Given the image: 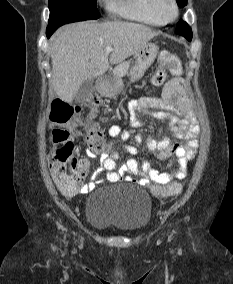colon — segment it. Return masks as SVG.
I'll list each match as a JSON object with an SVG mask.
<instances>
[{"label":"colon","mask_w":233,"mask_h":284,"mask_svg":"<svg viewBox=\"0 0 233 284\" xmlns=\"http://www.w3.org/2000/svg\"><path fill=\"white\" fill-rule=\"evenodd\" d=\"M159 62L160 69L152 79L154 86H160L165 81V69L174 76L181 75L182 63L176 54L166 50L161 51ZM87 104L92 110H96L103 104V100L98 97H92ZM78 111L79 107L60 99H55L51 105V120L59 128L54 129L50 136L52 144L50 166L56 186L67 195L80 191L88 170L87 166L79 160H70L73 155L74 144L69 132L63 128ZM103 139V130L94 122H91L85 136L87 144L94 151H101L104 149ZM182 189L181 183L172 182L166 186H154L151 188V192L157 198H170L180 195Z\"/></svg>","instance_id":"colon-1"}]
</instances>
